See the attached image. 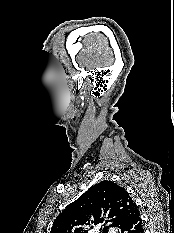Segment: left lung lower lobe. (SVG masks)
<instances>
[{
  "instance_id": "1",
  "label": "left lung lower lobe",
  "mask_w": 174,
  "mask_h": 233,
  "mask_svg": "<svg viewBox=\"0 0 174 233\" xmlns=\"http://www.w3.org/2000/svg\"><path fill=\"white\" fill-rule=\"evenodd\" d=\"M119 233H144L139 212L118 228Z\"/></svg>"
}]
</instances>
